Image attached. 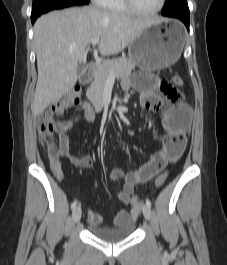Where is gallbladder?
I'll list each match as a JSON object with an SVG mask.
<instances>
[{"mask_svg":"<svg viewBox=\"0 0 227 265\" xmlns=\"http://www.w3.org/2000/svg\"><path fill=\"white\" fill-rule=\"evenodd\" d=\"M82 70H83V66H82V65H79V66H78V69H77V72H78V73H81Z\"/></svg>","mask_w":227,"mask_h":265,"instance_id":"gallbladder-1","label":"gallbladder"}]
</instances>
